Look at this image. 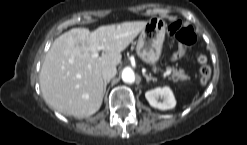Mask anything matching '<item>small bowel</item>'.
Listing matches in <instances>:
<instances>
[{
    "instance_id": "1",
    "label": "small bowel",
    "mask_w": 247,
    "mask_h": 145,
    "mask_svg": "<svg viewBox=\"0 0 247 145\" xmlns=\"http://www.w3.org/2000/svg\"><path fill=\"white\" fill-rule=\"evenodd\" d=\"M184 54H185V50H184L183 48H179V49L175 52L174 58L179 59V58L183 57Z\"/></svg>"
}]
</instances>
